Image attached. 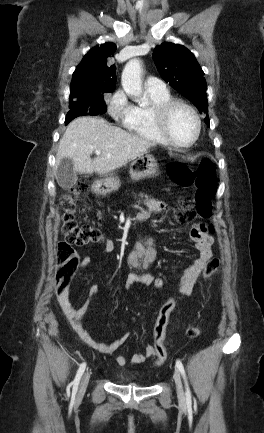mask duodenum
Segmentation results:
<instances>
[{"mask_svg":"<svg viewBox=\"0 0 264 433\" xmlns=\"http://www.w3.org/2000/svg\"><path fill=\"white\" fill-rule=\"evenodd\" d=\"M153 253H154L153 249H150V247H146L143 249H139L135 254V258L138 260H142V262L148 264L153 259L154 256Z\"/></svg>","mask_w":264,"mask_h":433,"instance_id":"duodenum-1","label":"duodenum"}]
</instances>
